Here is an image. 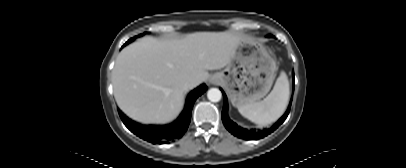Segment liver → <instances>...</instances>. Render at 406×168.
I'll use <instances>...</instances> for the list:
<instances>
[{
  "label": "liver",
  "instance_id": "liver-1",
  "mask_svg": "<svg viewBox=\"0 0 406 168\" xmlns=\"http://www.w3.org/2000/svg\"><path fill=\"white\" fill-rule=\"evenodd\" d=\"M245 37L229 32H195L180 39L146 36L125 47L112 73L119 108L141 123L174 120L184 96L206 81L208 70L227 66ZM192 80L190 88L185 84Z\"/></svg>",
  "mask_w": 406,
  "mask_h": 168
}]
</instances>
